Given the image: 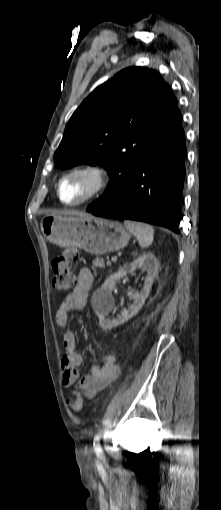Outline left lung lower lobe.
I'll use <instances>...</instances> for the list:
<instances>
[{
    "mask_svg": "<svg viewBox=\"0 0 221 510\" xmlns=\"http://www.w3.org/2000/svg\"><path fill=\"white\" fill-rule=\"evenodd\" d=\"M186 153L183 131L152 149L116 198L102 206L90 204L87 211L100 217L143 221L180 233Z\"/></svg>",
    "mask_w": 221,
    "mask_h": 510,
    "instance_id": "obj_1",
    "label": "left lung lower lobe"
}]
</instances>
